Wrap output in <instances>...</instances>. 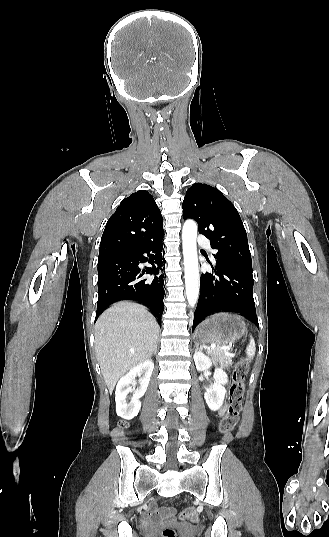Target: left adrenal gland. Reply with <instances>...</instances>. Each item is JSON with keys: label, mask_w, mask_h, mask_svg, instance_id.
Listing matches in <instances>:
<instances>
[{"label": "left adrenal gland", "mask_w": 329, "mask_h": 537, "mask_svg": "<svg viewBox=\"0 0 329 537\" xmlns=\"http://www.w3.org/2000/svg\"><path fill=\"white\" fill-rule=\"evenodd\" d=\"M196 350L200 349L199 344L195 343Z\"/></svg>", "instance_id": "a2214340"}]
</instances>
